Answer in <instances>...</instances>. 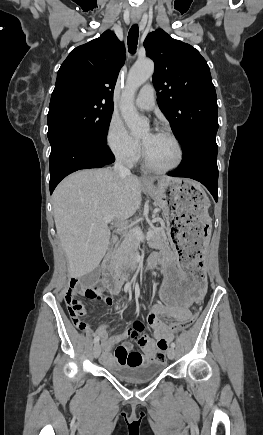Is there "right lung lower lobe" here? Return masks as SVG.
I'll return each instance as SVG.
<instances>
[{"mask_svg": "<svg viewBox=\"0 0 263 435\" xmlns=\"http://www.w3.org/2000/svg\"><path fill=\"white\" fill-rule=\"evenodd\" d=\"M105 144L81 136H62L50 154V193L67 175L79 169L100 168L114 162Z\"/></svg>", "mask_w": 263, "mask_h": 435, "instance_id": "98d812e1", "label": "right lung lower lobe"}]
</instances>
